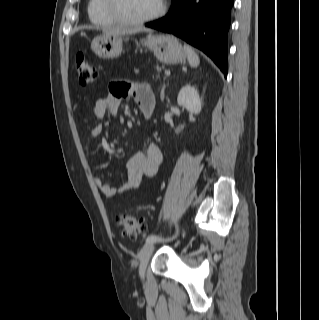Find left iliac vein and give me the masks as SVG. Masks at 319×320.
Returning a JSON list of instances; mask_svg holds the SVG:
<instances>
[{
    "label": "left iliac vein",
    "instance_id": "1",
    "mask_svg": "<svg viewBox=\"0 0 319 320\" xmlns=\"http://www.w3.org/2000/svg\"><path fill=\"white\" fill-rule=\"evenodd\" d=\"M154 250V243H146L139 252V274L144 278L147 264Z\"/></svg>",
    "mask_w": 319,
    "mask_h": 320
}]
</instances>
